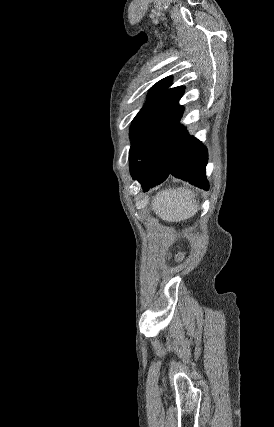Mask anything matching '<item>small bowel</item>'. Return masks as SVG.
Returning a JSON list of instances; mask_svg holds the SVG:
<instances>
[{
  "instance_id": "obj_1",
  "label": "small bowel",
  "mask_w": 274,
  "mask_h": 427,
  "mask_svg": "<svg viewBox=\"0 0 274 427\" xmlns=\"http://www.w3.org/2000/svg\"><path fill=\"white\" fill-rule=\"evenodd\" d=\"M182 250H180V249H177V250H173L172 251V254L174 255V256H180V255H182Z\"/></svg>"
}]
</instances>
